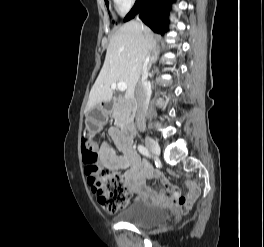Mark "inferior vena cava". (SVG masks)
Segmentation results:
<instances>
[{
    "mask_svg": "<svg viewBox=\"0 0 264 247\" xmlns=\"http://www.w3.org/2000/svg\"><path fill=\"white\" fill-rule=\"evenodd\" d=\"M148 54H145L140 70V75L136 83V101L138 105L137 110V124L139 127L145 126V117L148 110V104L151 96V85L148 82Z\"/></svg>",
    "mask_w": 264,
    "mask_h": 247,
    "instance_id": "602c4592",
    "label": "inferior vena cava"
}]
</instances>
